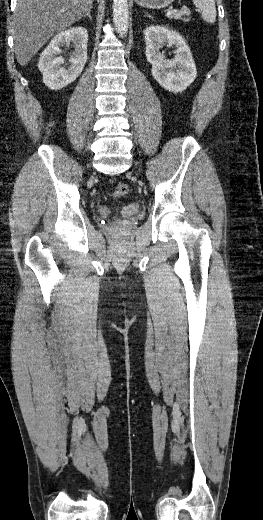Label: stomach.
Returning <instances> with one entry per match:
<instances>
[{
	"label": "stomach",
	"mask_w": 263,
	"mask_h": 520,
	"mask_svg": "<svg viewBox=\"0 0 263 520\" xmlns=\"http://www.w3.org/2000/svg\"><path fill=\"white\" fill-rule=\"evenodd\" d=\"M135 2L144 8L161 9L171 5L174 0H135Z\"/></svg>",
	"instance_id": "1"
}]
</instances>
